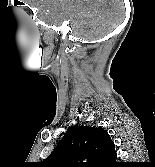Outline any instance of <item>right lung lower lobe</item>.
<instances>
[{"mask_svg": "<svg viewBox=\"0 0 155 167\" xmlns=\"http://www.w3.org/2000/svg\"><path fill=\"white\" fill-rule=\"evenodd\" d=\"M121 166H124V165L121 164V163H118V164H116L114 167H121Z\"/></svg>", "mask_w": 155, "mask_h": 167, "instance_id": "right-lung-lower-lobe-1", "label": "right lung lower lobe"}]
</instances>
